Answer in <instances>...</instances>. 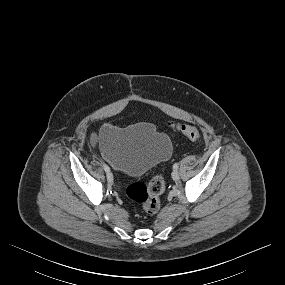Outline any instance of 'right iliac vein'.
<instances>
[{"label":"right iliac vein","mask_w":285,"mask_h":285,"mask_svg":"<svg viewBox=\"0 0 285 285\" xmlns=\"http://www.w3.org/2000/svg\"><path fill=\"white\" fill-rule=\"evenodd\" d=\"M106 176H107V180H108L109 182L113 181V175H112V173H111L110 171L107 172Z\"/></svg>","instance_id":"1"}]
</instances>
